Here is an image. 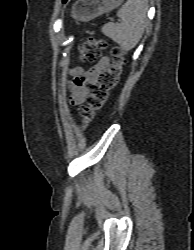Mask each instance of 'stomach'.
Masks as SVG:
<instances>
[{
  "label": "stomach",
  "mask_w": 194,
  "mask_h": 250,
  "mask_svg": "<svg viewBox=\"0 0 194 250\" xmlns=\"http://www.w3.org/2000/svg\"><path fill=\"white\" fill-rule=\"evenodd\" d=\"M123 0H78L71 9L77 21H89L118 7Z\"/></svg>",
  "instance_id": "stomach-1"
}]
</instances>
